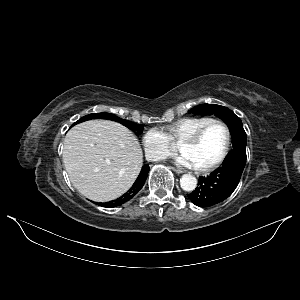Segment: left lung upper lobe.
<instances>
[{"label": "left lung upper lobe", "mask_w": 300, "mask_h": 300, "mask_svg": "<svg viewBox=\"0 0 300 300\" xmlns=\"http://www.w3.org/2000/svg\"><path fill=\"white\" fill-rule=\"evenodd\" d=\"M189 112L200 115L215 114L228 125L232 137L233 149L246 151V133L242 122L231 110L220 105L203 104L195 106Z\"/></svg>", "instance_id": "1"}]
</instances>
